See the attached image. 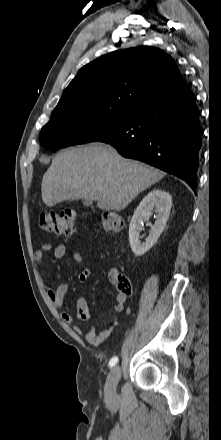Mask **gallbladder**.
<instances>
[{
  "instance_id": "bac80fb5",
  "label": "gallbladder",
  "mask_w": 221,
  "mask_h": 440,
  "mask_svg": "<svg viewBox=\"0 0 221 440\" xmlns=\"http://www.w3.org/2000/svg\"><path fill=\"white\" fill-rule=\"evenodd\" d=\"M83 204H84L85 206H91V205H92V200H85V201L83 202Z\"/></svg>"
}]
</instances>
